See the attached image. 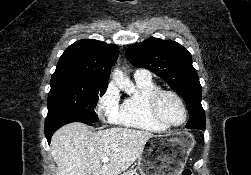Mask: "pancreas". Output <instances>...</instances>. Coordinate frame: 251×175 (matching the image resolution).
Segmentation results:
<instances>
[{"label": "pancreas", "instance_id": "1", "mask_svg": "<svg viewBox=\"0 0 251 175\" xmlns=\"http://www.w3.org/2000/svg\"><path fill=\"white\" fill-rule=\"evenodd\" d=\"M122 175H138L136 169H124Z\"/></svg>", "mask_w": 251, "mask_h": 175}]
</instances>
